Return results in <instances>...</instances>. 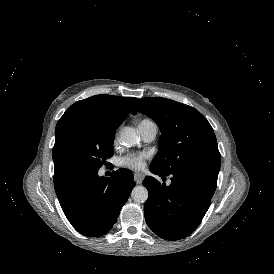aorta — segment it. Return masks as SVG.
I'll return each mask as SVG.
<instances>
[{
  "label": "aorta",
  "instance_id": "aorta-1",
  "mask_svg": "<svg viewBox=\"0 0 274 274\" xmlns=\"http://www.w3.org/2000/svg\"><path fill=\"white\" fill-rule=\"evenodd\" d=\"M120 140L123 145L132 147L137 144L138 136L133 128H125L121 135ZM149 193L144 186H136L131 192L132 199L137 203L146 202L148 199Z\"/></svg>",
  "mask_w": 274,
  "mask_h": 274
}]
</instances>
